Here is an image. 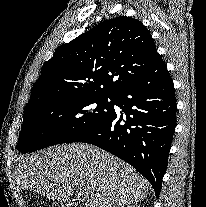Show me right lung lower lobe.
<instances>
[{
	"instance_id": "1",
	"label": "right lung lower lobe",
	"mask_w": 206,
	"mask_h": 207,
	"mask_svg": "<svg viewBox=\"0 0 206 207\" xmlns=\"http://www.w3.org/2000/svg\"><path fill=\"white\" fill-rule=\"evenodd\" d=\"M114 104L124 118L114 110L76 142L96 145L132 165L151 183L158 198L177 110L172 79L161 56L116 93Z\"/></svg>"
}]
</instances>
